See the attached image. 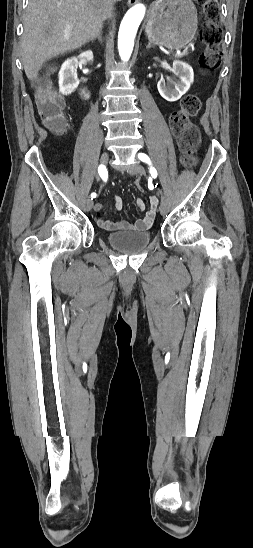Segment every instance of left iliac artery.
I'll list each match as a JSON object with an SVG mask.
<instances>
[{"label":"left iliac artery","mask_w":253,"mask_h":548,"mask_svg":"<svg viewBox=\"0 0 253 548\" xmlns=\"http://www.w3.org/2000/svg\"><path fill=\"white\" fill-rule=\"evenodd\" d=\"M139 159L149 165H151V161H150V158L148 157V155H146L145 153H140L138 155ZM150 173L152 175L153 178H156L157 177V171L154 167H150Z\"/></svg>","instance_id":"left-iliac-artery-1"}]
</instances>
